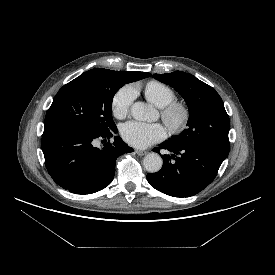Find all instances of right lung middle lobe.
I'll list each match as a JSON object with an SVG mask.
<instances>
[{
  "instance_id": "right-lung-middle-lobe-1",
  "label": "right lung middle lobe",
  "mask_w": 275,
  "mask_h": 275,
  "mask_svg": "<svg viewBox=\"0 0 275 275\" xmlns=\"http://www.w3.org/2000/svg\"><path fill=\"white\" fill-rule=\"evenodd\" d=\"M124 84L113 74L80 75L56 94L46 113L44 130L72 128L98 135L115 129L112 100Z\"/></svg>"
}]
</instances>
